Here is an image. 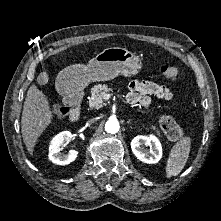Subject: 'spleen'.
<instances>
[{"instance_id": "1", "label": "spleen", "mask_w": 221, "mask_h": 221, "mask_svg": "<svg viewBox=\"0 0 221 221\" xmlns=\"http://www.w3.org/2000/svg\"><path fill=\"white\" fill-rule=\"evenodd\" d=\"M191 139L184 137L170 151L166 164V177L177 176L184 168L190 153Z\"/></svg>"}]
</instances>
